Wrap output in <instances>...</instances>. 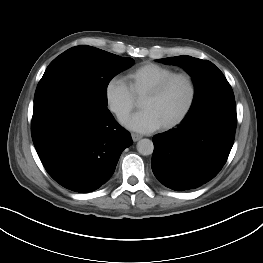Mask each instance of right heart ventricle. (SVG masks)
Returning <instances> with one entry per match:
<instances>
[{"mask_svg":"<svg viewBox=\"0 0 263 263\" xmlns=\"http://www.w3.org/2000/svg\"><path fill=\"white\" fill-rule=\"evenodd\" d=\"M172 73L174 71L169 67L148 62L128 71L123 80L134 98H141L147 90Z\"/></svg>","mask_w":263,"mask_h":263,"instance_id":"1","label":"right heart ventricle"}]
</instances>
